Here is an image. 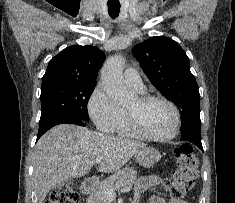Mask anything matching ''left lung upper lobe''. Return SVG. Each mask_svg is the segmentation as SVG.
<instances>
[{
  "label": "left lung upper lobe",
  "mask_w": 235,
  "mask_h": 203,
  "mask_svg": "<svg viewBox=\"0 0 235 203\" xmlns=\"http://www.w3.org/2000/svg\"><path fill=\"white\" fill-rule=\"evenodd\" d=\"M132 51L155 88L177 105L182 134L201 135L200 94L185 51L163 36L151 37Z\"/></svg>",
  "instance_id": "5c2ea615"
}]
</instances>
